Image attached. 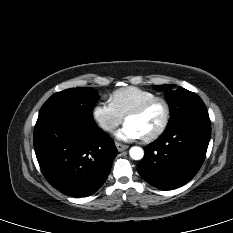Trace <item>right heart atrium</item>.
Listing matches in <instances>:
<instances>
[{
    "label": "right heart atrium",
    "mask_w": 233,
    "mask_h": 233,
    "mask_svg": "<svg viewBox=\"0 0 233 233\" xmlns=\"http://www.w3.org/2000/svg\"><path fill=\"white\" fill-rule=\"evenodd\" d=\"M92 116L98 126L108 133L114 132L123 121V117L110 102L97 103L92 110Z\"/></svg>",
    "instance_id": "obj_1"
}]
</instances>
